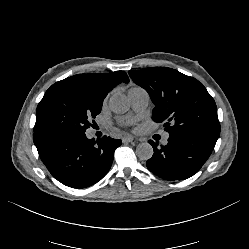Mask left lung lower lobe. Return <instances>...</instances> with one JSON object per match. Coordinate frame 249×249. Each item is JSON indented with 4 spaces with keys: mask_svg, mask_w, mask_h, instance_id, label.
<instances>
[{
    "mask_svg": "<svg viewBox=\"0 0 249 249\" xmlns=\"http://www.w3.org/2000/svg\"><path fill=\"white\" fill-rule=\"evenodd\" d=\"M218 138L210 135L177 131L169 133L168 143L158 146L149 140L154 149L147 160V168L165 180H184L200 170L214 149Z\"/></svg>",
    "mask_w": 249,
    "mask_h": 249,
    "instance_id": "1",
    "label": "left lung lower lobe"
}]
</instances>
